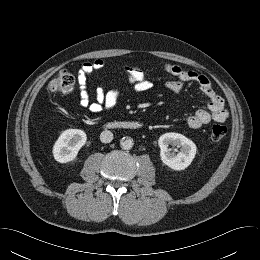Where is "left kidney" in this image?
Here are the masks:
<instances>
[{"label":"left kidney","mask_w":260,"mask_h":260,"mask_svg":"<svg viewBox=\"0 0 260 260\" xmlns=\"http://www.w3.org/2000/svg\"><path fill=\"white\" fill-rule=\"evenodd\" d=\"M180 147V152L174 154L168 148L169 145ZM160 157L162 162L173 170H184L193 161L196 154V145L179 133H165L158 140Z\"/></svg>","instance_id":"5707ae66"}]
</instances>
